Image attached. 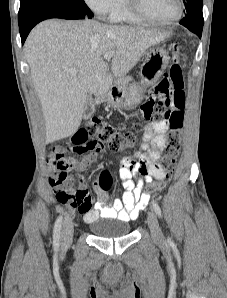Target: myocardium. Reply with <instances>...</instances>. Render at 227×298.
Wrapping results in <instances>:
<instances>
[{"label": "myocardium", "mask_w": 227, "mask_h": 298, "mask_svg": "<svg viewBox=\"0 0 227 298\" xmlns=\"http://www.w3.org/2000/svg\"><path fill=\"white\" fill-rule=\"evenodd\" d=\"M175 2L177 5L176 14L168 20H157V19L149 16L144 11L142 4H141V0H126L127 8L138 20L145 22V23L159 25V26L171 25L181 18L182 14H183V2H182V0H175Z\"/></svg>", "instance_id": "myocardium-1"}]
</instances>
